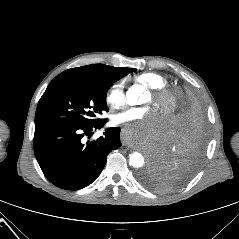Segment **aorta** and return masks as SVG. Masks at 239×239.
I'll use <instances>...</instances> for the list:
<instances>
[{"instance_id":"aorta-1","label":"aorta","mask_w":239,"mask_h":239,"mask_svg":"<svg viewBox=\"0 0 239 239\" xmlns=\"http://www.w3.org/2000/svg\"><path fill=\"white\" fill-rule=\"evenodd\" d=\"M144 89L140 86H133L129 88L126 97L130 104H137L140 101V96L143 94ZM129 164L134 168H141L145 164L144 156L139 152H133L129 156Z\"/></svg>"}]
</instances>
